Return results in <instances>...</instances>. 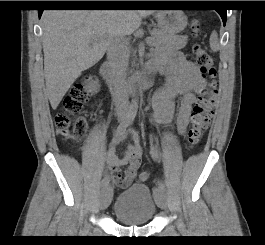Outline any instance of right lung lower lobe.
<instances>
[{"instance_id": "right-lung-lower-lobe-1", "label": "right lung lower lobe", "mask_w": 265, "mask_h": 245, "mask_svg": "<svg viewBox=\"0 0 265 245\" xmlns=\"http://www.w3.org/2000/svg\"><path fill=\"white\" fill-rule=\"evenodd\" d=\"M55 6H80V7H118L121 6L120 1H82L81 3H57ZM43 10H38L41 17Z\"/></svg>"}]
</instances>
